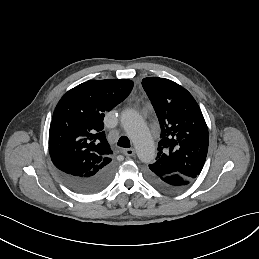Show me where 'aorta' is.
Masks as SVG:
<instances>
[{
    "mask_svg": "<svg viewBox=\"0 0 259 259\" xmlns=\"http://www.w3.org/2000/svg\"><path fill=\"white\" fill-rule=\"evenodd\" d=\"M121 124L131 138L139 159L150 163L155 159L156 148L151 134L138 112L129 109L122 113Z\"/></svg>",
    "mask_w": 259,
    "mask_h": 259,
    "instance_id": "aorta-1",
    "label": "aorta"
}]
</instances>
